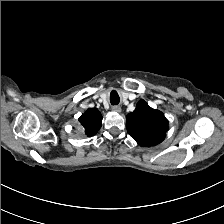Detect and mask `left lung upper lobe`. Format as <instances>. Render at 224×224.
<instances>
[{"label":"left lung upper lobe","mask_w":224,"mask_h":224,"mask_svg":"<svg viewBox=\"0 0 224 224\" xmlns=\"http://www.w3.org/2000/svg\"><path fill=\"white\" fill-rule=\"evenodd\" d=\"M129 135L141 146L150 147L161 143L168 130V120L164 114L151 108L144 100L126 116Z\"/></svg>","instance_id":"obj_1"}]
</instances>
